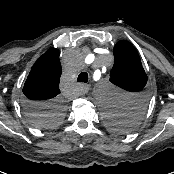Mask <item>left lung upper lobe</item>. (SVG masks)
Returning a JSON list of instances; mask_svg holds the SVG:
<instances>
[{"label": "left lung upper lobe", "mask_w": 174, "mask_h": 174, "mask_svg": "<svg viewBox=\"0 0 174 174\" xmlns=\"http://www.w3.org/2000/svg\"><path fill=\"white\" fill-rule=\"evenodd\" d=\"M114 66L110 72V81L115 85L133 92L121 114H108V123L118 133H128L134 129L146 106V97L140 91L147 83V75L134 46L119 41L114 49Z\"/></svg>", "instance_id": "obj_1"}]
</instances>
